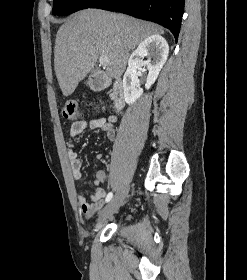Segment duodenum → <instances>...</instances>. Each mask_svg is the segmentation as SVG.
<instances>
[{
	"instance_id": "duodenum-1",
	"label": "duodenum",
	"mask_w": 247,
	"mask_h": 280,
	"mask_svg": "<svg viewBox=\"0 0 247 280\" xmlns=\"http://www.w3.org/2000/svg\"><path fill=\"white\" fill-rule=\"evenodd\" d=\"M111 84L110 80L103 74H97L92 81L94 90H102ZM111 97L116 110H121L125 105V92L123 82L120 79L111 84Z\"/></svg>"
}]
</instances>
